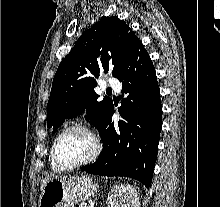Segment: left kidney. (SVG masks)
I'll use <instances>...</instances> for the list:
<instances>
[{"instance_id": "1", "label": "left kidney", "mask_w": 220, "mask_h": 207, "mask_svg": "<svg viewBox=\"0 0 220 207\" xmlns=\"http://www.w3.org/2000/svg\"><path fill=\"white\" fill-rule=\"evenodd\" d=\"M107 207H140L137 190L129 184L114 186L107 197Z\"/></svg>"}]
</instances>
